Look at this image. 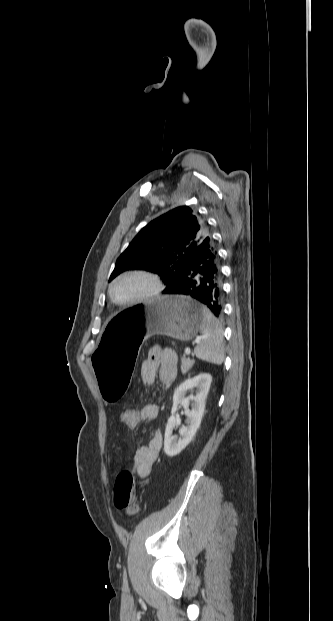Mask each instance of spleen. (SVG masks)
I'll return each mask as SVG.
<instances>
[{
  "label": "spleen",
  "mask_w": 333,
  "mask_h": 621,
  "mask_svg": "<svg viewBox=\"0 0 333 621\" xmlns=\"http://www.w3.org/2000/svg\"><path fill=\"white\" fill-rule=\"evenodd\" d=\"M200 331L203 339L194 349L195 356L202 361L221 365L224 360L223 329L207 308Z\"/></svg>",
  "instance_id": "obj_1"
}]
</instances>
